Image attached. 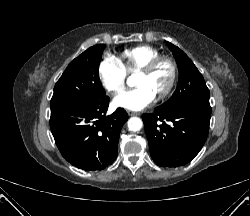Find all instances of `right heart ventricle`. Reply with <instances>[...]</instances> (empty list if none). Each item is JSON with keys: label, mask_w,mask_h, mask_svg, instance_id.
I'll list each match as a JSON object with an SVG mask.
<instances>
[{"label": "right heart ventricle", "mask_w": 250, "mask_h": 216, "mask_svg": "<svg viewBox=\"0 0 250 216\" xmlns=\"http://www.w3.org/2000/svg\"><path fill=\"white\" fill-rule=\"evenodd\" d=\"M158 55V51L150 46L135 47L125 52L124 67L129 72H137L156 59Z\"/></svg>", "instance_id": "1"}]
</instances>
